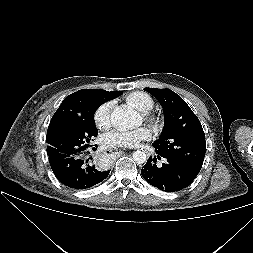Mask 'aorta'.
I'll use <instances>...</instances> for the list:
<instances>
[{
    "label": "aorta",
    "instance_id": "1",
    "mask_svg": "<svg viewBox=\"0 0 253 253\" xmlns=\"http://www.w3.org/2000/svg\"><path fill=\"white\" fill-rule=\"evenodd\" d=\"M111 122L114 127L119 129H132L138 125L139 116L130 108L117 107L111 114ZM133 160L137 164H143L147 160V155L143 151H135L133 153Z\"/></svg>",
    "mask_w": 253,
    "mask_h": 253
}]
</instances>
